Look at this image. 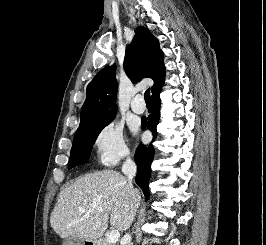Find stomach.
<instances>
[{"instance_id": "stomach-1", "label": "stomach", "mask_w": 266, "mask_h": 245, "mask_svg": "<svg viewBox=\"0 0 266 245\" xmlns=\"http://www.w3.org/2000/svg\"><path fill=\"white\" fill-rule=\"evenodd\" d=\"M75 241V245H87V243H90V245H99L97 241H81V239H75Z\"/></svg>"}]
</instances>
